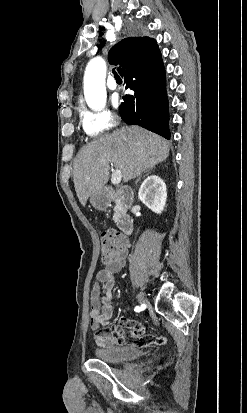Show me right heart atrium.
Listing matches in <instances>:
<instances>
[{"label":"right heart atrium","instance_id":"d8ad5b80","mask_svg":"<svg viewBox=\"0 0 247 413\" xmlns=\"http://www.w3.org/2000/svg\"><path fill=\"white\" fill-rule=\"evenodd\" d=\"M78 107L80 109H85L87 107V102L85 100H80L78 102ZM112 112V107L110 105H105L102 107L100 105H93L91 110H84L82 112V117L84 118L83 125L86 128L87 133H105L106 130H111L114 127L115 119L110 114Z\"/></svg>","mask_w":247,"mask_h":413}]
</instances>
